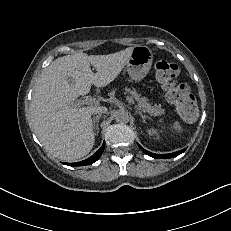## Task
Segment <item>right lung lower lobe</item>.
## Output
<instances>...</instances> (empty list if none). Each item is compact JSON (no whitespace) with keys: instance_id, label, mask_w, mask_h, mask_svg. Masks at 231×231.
<instances>
[{"instance_id":"obj_1","label":"right lung lower lobe","mask_w":231,"mask_h":231,"mask_svg":"<svg viewBox=\"0 0 231 231\" xmlns=\"http://www.w3.org/2000/svg\"><path fill=\"white\" fill-rule=\"evenodd\" d=\"M104 147H105V143L102 145V147L95 154H93L91 157H89L88 159H86L84 161L76 162V163H65V164L69 165V166H85V165L92 164L95 161H97L99 159V157L102 155V153L104 151Z\"/></svg>"}]
</instances>
